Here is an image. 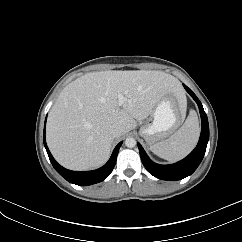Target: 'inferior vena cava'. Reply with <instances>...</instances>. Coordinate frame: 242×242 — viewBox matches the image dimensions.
<instances>
[{
	"instance_id": "inferior-vena-cava-1",
	"label": "inferior vena cava",
	"mask_w": 242,
	"mask_h": 242,
	"mask_svg": "<svg viewBox=\"0 0 242 242\" xmlns=\"http://www.w3.org/2000/svg\"><path fill=\"white\" fill-rule=\"evenodd\" d=\"M110 133L114 138H118L122 136L123 134V129L120 126L114 125L110 129Z\"/></svg>"
}]
</instances>
